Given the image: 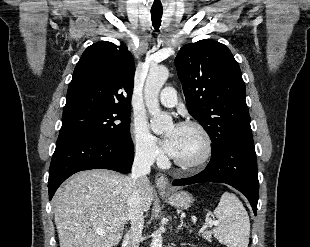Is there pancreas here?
<instances>
[{
  "label": "pancreas",
  "instance_id": "obj_1",
  "mask_svg": "<svg viewBox=\"0 0 310 247\" xmlns=\"http://www.w3.org/2000/svg\"><path fill=\"white\" fill-rule=\"evenodd\" d=\"M201 236L206 239L207 241H211V232L210 231H203Z\"/></svg>",
  "mask_w": 310,
  "mask_h": 247
}]
</instances>
